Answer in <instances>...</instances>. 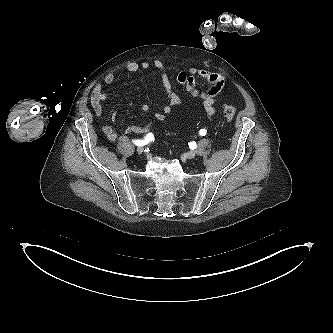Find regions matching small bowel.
<instances>
[{
	"label": "small bowel",
	"mask_w": 333,
	"mask_h": 333,
	"mask_svg": "<svg viewBox=\"0 0 333 333\" xmlns=\"http://www.w3.org/2000/svg\"><path fill=\"white\" fill-rule=\"evenodd\" d=\"M154 67L160 72L163 88L166 93V103L163 105L160 112L155 114L156 119L162 120L169 114L173 108L182 106L183 99L175 92L169 75L166 72L163 62L155 60L152 63L148 61L129 62L126 69L132 73H138L143 70H148ZM197 79H203L209 84V88L202 91L197 88ZM177 82L182 85L193 97L199 98L203 101V107L208 117H213L216 113V103L224 87V78L213 71L207 69L190 68L181 70L176 75ZM115 81V76L112 73L107 74L103 81L98 83L91 94V105L97 116L102 114V104L107 99V94L103 90L104 85H111ZM144 112L149 110V106L142 105ZM152 127V122H145L139 125H130L124 129L125 134L131 133H145ZM102 131L110 141L117 139L118 134L115 127L111 124L102 126Z\"/></svg>",
	"instance_id": "small-bowel-1"
}]
</instances>
